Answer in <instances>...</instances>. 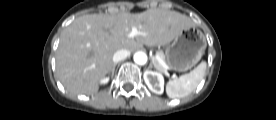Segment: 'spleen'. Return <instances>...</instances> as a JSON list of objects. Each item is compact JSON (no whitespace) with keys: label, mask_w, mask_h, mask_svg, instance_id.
<instances>
[{"label":"spleen","mask_w":276,"mask_h":120,"mask_svg":"<svg viewBox=\"0 0 276 120\" xmlns=\"http://www.w3.org/2000/svg\"><path fill=\"white\" fill-rule=\"evenodd\" d=\"M206 66V62H201L190 73L169 81L166 85L168 97L182 98L194 91L204 77Z\"/></svg>","instance_id":"1"}]
</instances>
